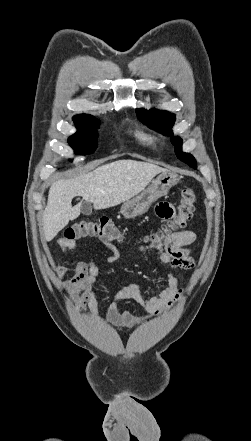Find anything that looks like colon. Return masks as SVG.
<instances>
[{"label":"colon","mask_w":251,"mask_h":441,"mask_svg":"<svg viewBox=\"0 0 251 441\" xmlns=\"http://www.w3.org/2000/svg\"><path fill=\"white\" fill-rule=\"evenodd\" d=\"M195 200V192L192 188L183 189L177 206V213L148 238V243L162 244L173 234L174 230L185 226L193 217ZM87 237H96L102 241L113 243L123 240V234L119 228L114 222L105 217L76 222L67 228L64 240L73 241Z\"/></svg>","instance_id":"1"}]
</instances>
